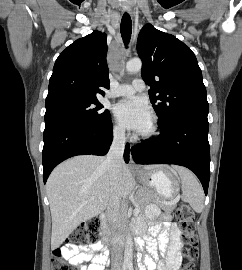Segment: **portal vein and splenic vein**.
<instances>
[{
  "label": "portal vein and splenic vein",
  "instance_id": "1",
  "mask_svg": "<svg viewBox=\"0 0 242 270\" xmlns=\"http://www.w3.org/2000/svg\"><path fill=\"white\" fill-rule=\"evenodd\" d=\"M179 199H180V196L178 195L175 199H173L172 201H169V202H165L166 204H175V203H177L178 201H179ZM140 212V209L138 208V207H136L135 209H134V213L135 214H137V213H139Z\"/></svg>",
  "mask_w": 242,
  "mask_h": 270
}]
</instances>
